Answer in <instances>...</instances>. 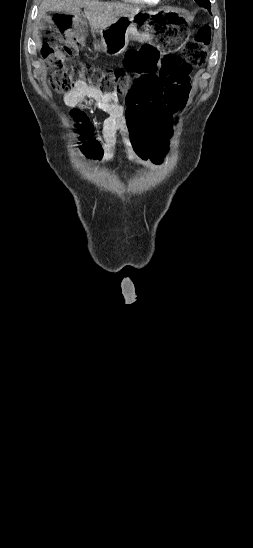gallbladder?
Returning <instances> with one entry per match:
<instances>
[{
    "label": "gallbladder",
    "instance_id": "gallbladder-1",
    "mask_svg": "<svg viewBox=\"0 0 253 548\" xmlns=\"http://www.w3.org/2000/svg\"><path fill=\"white\" fill-rule=\"evenodd\" d=\"M48 20H49V16L47 15L43 16V18L40 20V25L46 24Z\"/></svg>",
    "mask_w": 253,
    "mask_h": 548
}]
</instances>
